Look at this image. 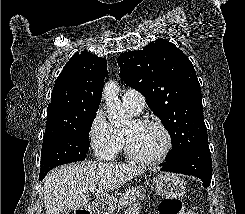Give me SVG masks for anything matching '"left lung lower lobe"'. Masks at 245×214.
<instances>
[{"mask_svg":"<svg viewBox=\"0 0 245 214\" xmlns=\"http://www.w3.org/2000/svg\"><path fill=\"white\" fill-rule=\"evenodd\" d=\"M162 171L192 175L208 187L212 178V160L208 145L194 147L176 157L166 159Z\"/></svg>","mask_w":245,"mask_h":214,"instance_id":"obj_1","label":"left lung lower lobe"}]
</instances>
